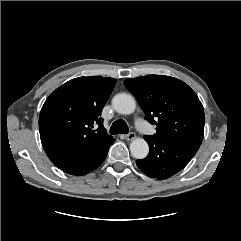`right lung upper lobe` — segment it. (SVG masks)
<instances>
[{"label":"right lung upper lobe","instance_id":"obj_1","mask_svg":"<svg viewBox=\"0 0 241 241\" xmlns=\"http://www.w3.org/2000/svg\"><path fill=\"white\" fill-rule=\"evenodd\" d=\"M115 84L116 79L109 77H78L49 95L40 112L39 131L52 162L88 151L111 138L100 115Z\"/></svg>","mask_w":241,"mask_h":241}]
</instances>
